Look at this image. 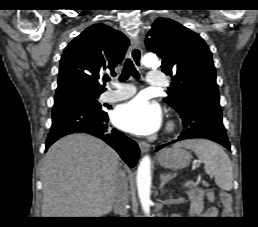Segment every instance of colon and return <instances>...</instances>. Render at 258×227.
<instances>
[{
	"mask_svg": "<svg viewBox=\"0 0 258 227\" xmlns=\"http://www.w3.org/2000/svg\"><path fill=\"white\" fill-rule=\"evenodd\" d=\"M222 201V215L224 218H231L232 216V197L228 192H221Z\"/></svg>",
	"mask_w": 258,
	"mask_h": 227,
	"instance_id": "5ec220e1",
	"label": "colon"
}]
</instances>
